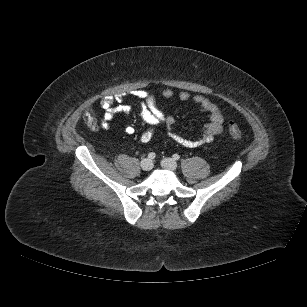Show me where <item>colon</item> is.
I'll list each match as a JSON object with an SVG mask.
<instances>
[{"instance_id":"1","label":"colon","mask_w":307,"mask_h":307,"mask_svg":"<svg viewBox=\"0 0 307 307\" xmlns=\"http://www.w3.org/2000/svg\"><path fill=\"white\" fill-rule=\"evenodd\" d=\"M85 121L88 126L93 127L96 125V119L95 115L91 110H88L85 114ZM228 131L230 135L235 139V140H240L242 138V133L239 128V126L231 121L228 123ZM153 136V131L151 129L145 130L142 135H141V141L142 142H149Z\"/></svg>"}]
</instances>
